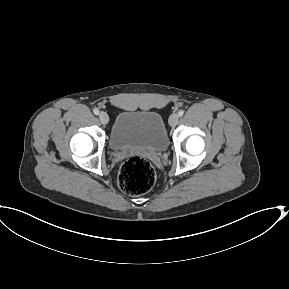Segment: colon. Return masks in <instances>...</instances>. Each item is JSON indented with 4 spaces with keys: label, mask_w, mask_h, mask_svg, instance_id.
Segmentation results:
<instances>
[{
    "label": "colon",
    "mask_w": 289,
    "mask_h": 289,
    "mask_svg": "<svg viewBox=\"0 0 289 289\" xmlns=\"http://www.w3.org/2000/svg\"><path fill=\"white\" fill-rule=\"evenodd\" d=\"M155 177V170L147 159L133 156L122 164L118 185L126 194L142 195L152 188Z\"/></svg>",
    "instance_id": "colon-1"
}]
</instances>
